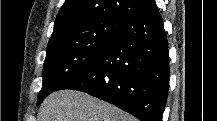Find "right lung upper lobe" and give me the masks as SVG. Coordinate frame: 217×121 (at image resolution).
<instances>
[{
  "label": "right lung upper lobe",
  "mask_w": 217,
  "mask_h": 121,
  "mask_svg": "<svg viewBox=\"0 0 217 121\" xmlns=\"http://www.w3.org/2000/svg\"><path fill=\"white\" fill-rule=\"evenodd\" d=\"M154 0H66L61 7L49 42L70 28L99 19L126 22Z\"/></svg>",
  "instance_id": "obj_1"
}]
</instances>
